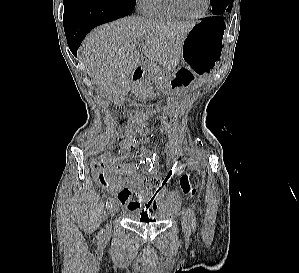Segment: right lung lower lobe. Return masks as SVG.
I'll list each match as a JSON object with an SVG mask.
<instances>
[{
    "label": "right lung lower lobe",
    "mask_w": 299,
    "mask_h": 273,
    "mask_svg": "<svg viewBox=\"0 0 299 273\" xmlns=\"http://www.w3.org/2000/svg\"><path fill=\"white\" fill-rule=\"evenodd\" d=\"M136 0H64L63 25L67 43L76 56L84 37L94 27L128 15Z\"/></svg>",
    "instance_id": "98d812e1"
}]
</instances>
